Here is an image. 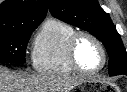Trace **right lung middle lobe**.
<instances>
[{"mask_svg":"<svg viewBox=\"0 0 127 92\" xmlns=\"http://www.w3.org/2000/svg\"><path fill=\"white\" fill-rule=\"evenodd\" d=\"M37 26L0 31V63L23 64L28 40Z\"/></svg>","mask_w":127,"mask_h":92,"instance_id":"right-lung-middle-lobe-1","label":"right lung middle lobe"}]
</instances>
